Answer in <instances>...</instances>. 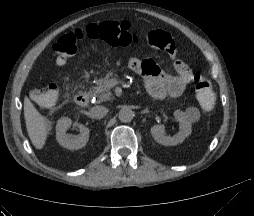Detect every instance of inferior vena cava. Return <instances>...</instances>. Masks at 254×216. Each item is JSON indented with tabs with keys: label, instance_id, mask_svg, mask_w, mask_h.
<instances>
[{
	"label": "inferior vena cava",
	"instance_id": "602c4592",
	"mask_svg": "<svg viewBox=\"0 0 254 216\" xmlns=\"http://www.w3.org/2000/svg\"><path fill=\"white\" fill-rule=\"evenodd\" d=\"M108 113V109L104 106H95L91 108L90 115L92 118L101 119Z\"/></svg>",
	"mask_w": 254,
	"mask_h": 216
}]
</instances>
